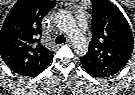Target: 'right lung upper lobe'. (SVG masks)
I'll use <instances>...</instances> for the list:
<instances>
[{
  "mask_svg": "<svg viewBox=\"0 0 135 95\" xmlns=\"http://www.w3.org/2000/svg\"><path fill=\"white\" fill-rule=\"evenodd\" d=\"M42 11L15 8L0 32V54L17 71L38 74L50 62L52 53L40 43Z\"/></svg>",
  "mask_w": 135,
  "mask_h": 95,
  "instance_id": "right-lung-upper-lobe-1",
  "label": "right lung upper lobe"
}]
</instances>
